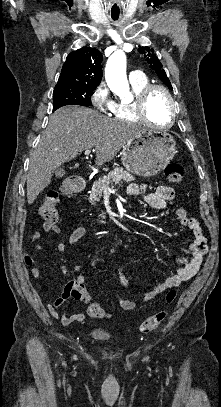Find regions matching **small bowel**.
<instances>
[{
    "mask_svg": "<svg viewBox=\"0 0 221 407\" xmlns=\"http://www.w3.org/2000/svg\"><path fill=\"white\" fill-rule=\"evenodd\" d=\"M128 194L130 196L141 195L142 199L146 204L155 209L163 210L166 209L171 202L175 199V191L173 188L165 185H152V184H132L128 189ZM175 214L182 226L189 229L192 235V240L189 247V256L187 258L179 259L180 267L177 272L167 277L163 282L158 283L150 287L144 294L140 302L124 299L119 294H117V299L120 307L123 310L129 311L136 308L139 303L148 302L159 294L171 289L178 287L183 282L189 280L199 269L203 256L207 252V239L202 233L201 227L196 219L190 217L183 206H178L175 209ZM57 233H60V229ZM87 234V230L84 226L77 227L72 231L69 236L70 244H75ZM41 234L36 232L32 235L31 241L35 243V251L41 249ZM56 249L59 253H65L67 247L64 243H58ZM22 259L27 266H30V274L38 278L41 276V270L33 266L34 257L28 252L24 251L22 253ZM59 271L68 278V281L61 293V295L56 298L52 303L48 304L47 308L50 314L59 319L63 325H69L73 321H83L85 315L83 313H77L70 316H60L58 313V308L69 299H74L80 301L76 298L71 290L70 286L74 282H81L85 285L86 278L83 274H76L69 270L66 266H59ZM131 272L128 269H120L117 273V280L125 289L134 292L135 288L131 285L129 281V276Z\"/></svg>",
    "mask_w": 221,
    "mask_h": 407,
    "instance_id": "c3829d8e",
    "label": "small bowel"
}]
</instances>
